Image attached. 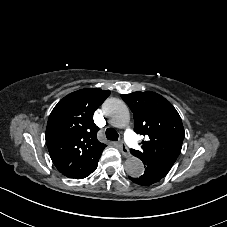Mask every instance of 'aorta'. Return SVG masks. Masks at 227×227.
<instances>
[{"label":"aorta","instance_id":"1","mask_svg":"<svg viewBox=\"0 0 227 227\" xmlns=\"http://www.w3.org/2000/svg\"><path fill=\"white\" fill-rule=\"evenodd\" d=\"M102 109L113 126L124 128L129 124V109L122 100L110 98L105 101ZM125 171L130 177H140L144 173V164L139 158L132 156L125 161Z\"/></svg>","mask_w":227,"mask_h":227}]
</instances>
